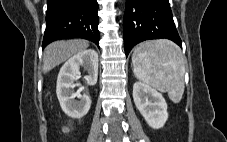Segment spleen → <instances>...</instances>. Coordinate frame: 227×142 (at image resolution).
<instances>
[{
  "mask_svg": "<svg viewBox=\"0 0 227 142\" xmlns=\"http://www.w3.org/2000/svg\"><path fill=\"white\" fill-rule=\"evenodd\" d=\"M135 76L178 103L184 93L185 62L180 48L169 40L143 42L134 48Z\"/></svg>",
  "mask_w": 227,
  "mask_h": 142,
  "instance_id": "3e777b00",
  "label": "spleen"
}]
</instances>
